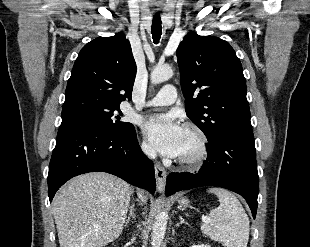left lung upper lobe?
I'll return each instance as SVG.
<instances>
[{
  "label": "left lung upper lobe",
  "mask_w": 310,
  "mask_h": 247,
  "mask_svg": "<svg viewBox=\"0 0 310 247\" xmlns=\"http://www.w3.org/2000/svg\"><path fill=\"white\" fill-rule=\"evenodd\" d=\"M177 58L187 116L204 132L208 145L251 131L246 80L228 42L191 32L179 44Z\"/></svg>",
  "instance_id": "left-lung-upper-lobe-1"
}]
</instances>
